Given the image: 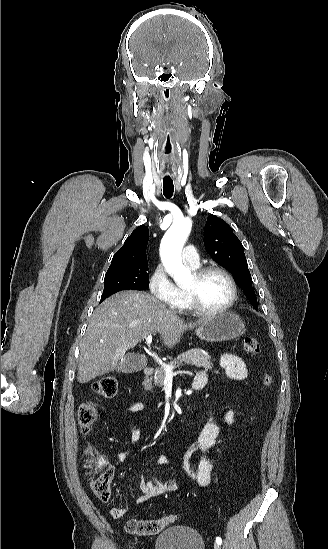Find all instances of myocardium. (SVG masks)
Segmentation results:
<instances>
[{
    "mask_svg": "<svg viewBox=\"0 0 328 549\" xmlns=\"http://www.w3.org/2000/svg\"><path fill=\"white\" fill-rule=\"evenodd\" d=\"M189 270L192 269V275L195 279H200L204 275H206L208 272L217 270L220 273H222L228 280L230 286H231V295L229 300L221 307L215 308V309H206L201 307L202 304L199 299L196 297V294L194 291L190 288L184 287L185 294L188 300L187 308L195 313L198 317H208V316H219L222 315L232 309L235 302L238 298V284L232 275V273L228 270V268L219 263V262H204L199 263L198 265L187 267ZM191 271V270H190Z\"/></svg>",
    "mask_w": 328,
    "mask_h": 549,
    "instance_id": "myocardium-1",
    "label": "myocardium"
}]
</instances>
